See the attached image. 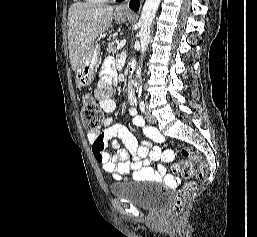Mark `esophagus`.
Segmentation results:
<instances>
[{
  "mask_svg": "<svg viewBox=\"0 0 257 237\" xmlns=\"http://www.w3.org/2000/svg\"><path fill=\"white\" fill-rule=\"evenodd\" d=\"M128 0H126L125 2L121 3L120 5L117 6L116 11L117 12H128Z\"/></svg>",
  "mask_w": 257,
  "mask_h": 237,
  "instance_id": "1",
  "label": "esophagus"
}]
</instances>
